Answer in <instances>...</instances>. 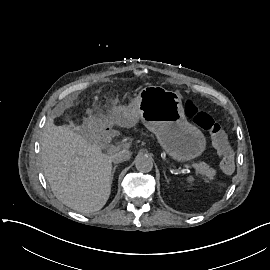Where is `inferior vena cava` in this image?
Wrapping results in <instances>:
<instances>
[{
    "mask_svg": "<svg viewBox=\"0 0 270 270\" xmlns=\"http://www.w3.org/2000/svg\"><path fill=\"white\" fill-rule=\"evenodd\" d=\"M130 158V154L126 151H120L114 155L111 156V161L114 163H121L123 161H126Z\"/></svg>",
    "mask_w": 270,
    "mask_h": 270,
    "instance_id": "1",
    "label": "inferior vena cava"
}]
</instances>
